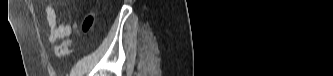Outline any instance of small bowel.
I'll return each mask as SVG.
<instances>
[{"label": "small bowel", "instance_id": "small-bowel-1", "mask_svg": "<svg viewBox=\"0 0 333 76\" xmlns=\"http://www.w3.org/2000/svg\"><path fill=\"white\" fill-rule=\"evenodd\" d=\"M46 12L49 26V41L56 43L59 39L69 37L72 33V26L69 23L60 22L54 7L48 6Z\"/></svg>", "mask_w": 333, "mask_h": 76}]
</instances>
